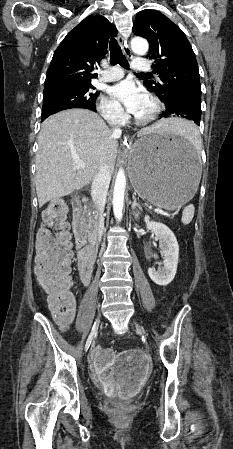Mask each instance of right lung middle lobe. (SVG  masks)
Returning <instances> with one entry per match:
<instances>
[{"mask_svg":"<svg viewBox=\"0 0 233 449\" xmlns=\"http://www.w3.org/2000/svg\"><path fill=\"white\" fill-rule=\"evenodd\" d=\"M93 89L95 88L91 84L62 87L44 92L41 118H47L51 114L70 108L96 111L95 102L99 92H93Z\"/></svg>","mask_w":233,"mask_h":449,"instance_id":"right-lung-middle-lobe-1","label":"right lung middle lobe"}]
</instances>
